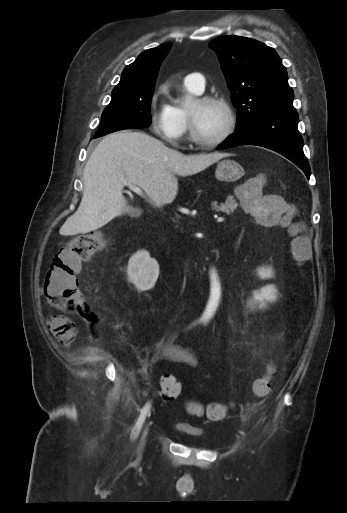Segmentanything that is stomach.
I'll list each match as a JSON object with an SVG mask.
<instances>
[{"instance_id":"stomach-1","label":"stomach","mask_w":347,"mask_h":513,"mask_svg":"<svg viewBox=\"0 0 347 513\" xmlns=\"http://www.w3.org/2000/svg\"><path fill=\"white\" fill-rule=\"evenodd\" d=\"M245 174L241 164L232 159H225L218 163L215 177L223 182H235Z\"/></svg>"}]
</instances>
